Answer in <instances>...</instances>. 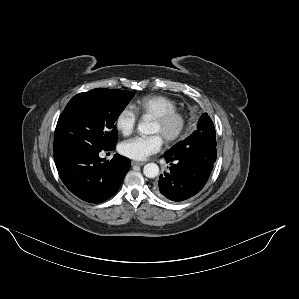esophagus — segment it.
Instances as JSON below:
<instances>
[{
    "mask_svg": "<svg viewBox=\"0 0 299 299\" xmlns=\"http://www.w3.org/2000/svg\"><path fill=\"white\" fill-rule=\"evenodd\" d=\"M145 162H139V161H132L131 165L132 166H143Z\"/></svg>",
    "mask_w": 299,
    "mask_h": 299,
    "instance_id": "obj_1",
    "label": "esophagus"
}]
</instances>
